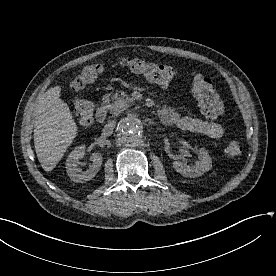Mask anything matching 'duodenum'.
I'll list each match as a JSON object with an SVG mask.
<instances>
[{"label": "duodenum", "mask_w": 276, "mask_h": 276, "mask_svg": "<svg viewBox=\"0 0 276 276\" xmlns=\"http://www.w3.org/2000/svg\"><path fill=\"white\" fill-rule=\"evenodd\" d=\"M95 118H96L97 122H99V123H104L106 121L107 109L104 105H101L97 108L96 113H95Z\"/></svg>", "instance_id": "obj_1"}]
</instances>
